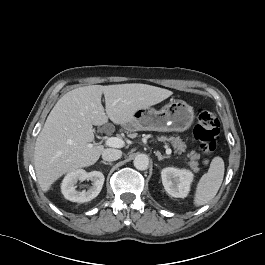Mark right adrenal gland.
<instances>
[{
    "label": "right adrenal gland",
    "instance_id": "1",
    "mask_svg": "<svg viewBox=\"0 0 265 265\" xmlns=\"http://www.w3.org/2000/svg\"><path fill=\"white\" fill-rule=\"evenodd\" d=\"M101 163H103V164H105V165H111V162L101 161Z\"/></svg>",
    "mask_w": 265,
    "mask_h": 265
}]
</instances>
